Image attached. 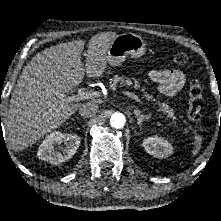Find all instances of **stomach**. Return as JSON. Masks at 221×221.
<instances>
[{
  "mask_svg": "<svg viewBox=\"0 0 221 221\" xmlns=\"http://www.w3.org/2000/svg\"><path fill=\"white\" fill-rule=\"evenodd\" d=\"M146 51L145 41L134 33L117 35L108 49V63L111 66H119L128 56L140 57Z\"/></svg>",
  "mask_w": 221,
  "mask_h": 221,
  "instance_id": "obj_1",
  "label": "stomach"
}]
</instances>
